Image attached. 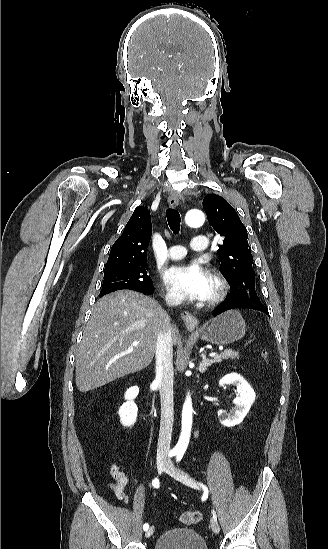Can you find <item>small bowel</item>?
<instances>
[{"instance_id":"1","label":"small bowel","mask_w":328,"mask_h":549,"mask_svg":"<svg viewBox=\"0 0 328 549\" xmlns=\"http://www.w3.org/2000/svg\"><path fill=\"white\" fill-rule=\"evenodd\" d=\"M111 477L114 479V483L111 485L113 492L119 500L125 498V487L128 484V476L120 470L118 465L112 464L109 469Z\"/></svg>"}]
</instances>
